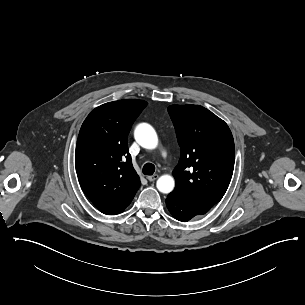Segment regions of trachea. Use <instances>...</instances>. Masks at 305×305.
Instances as JSON below:
<instances>
[{
  "instance_id": "1",
  "label": "trachea",
  "mask_w": 305,
  "mask_h": 305,
  "mask_svg": "<svg viewBox=\"0 0 305 305\" xmlns=\"http://www.w3.org/2000/svg\"><path fill=\"white\" fill-rule=\"evenodd\" d=\"M142 172L144 175H153L155 172V166L152 163H146L143 166Z\"/></svg>"
}]
</instances>
